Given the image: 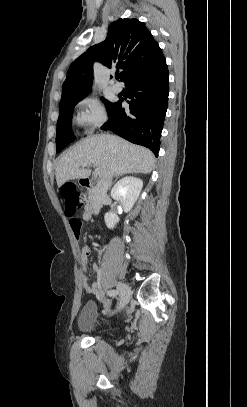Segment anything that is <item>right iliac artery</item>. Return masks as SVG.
I'll use <instances>...</instances> for the list:
<instances>
[{"label": "right iliac artery", "instance_id": "right-iliac-artery-1", "mask_svg": "<svg viewBox=\"0 0 247 407\" xmlns=\"http://www.w3.org/2000/svg\"><path fill=\"white\" fill-rule=\"evenodd\" d=\"M107 294L109 296H116V295L119 294V290L118 289H113V290L108 291Z\"/></svg>", "mask_w": 247, "mask_h": 407}]
</instances>
